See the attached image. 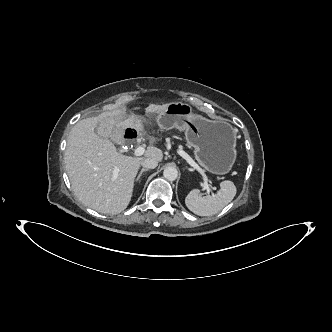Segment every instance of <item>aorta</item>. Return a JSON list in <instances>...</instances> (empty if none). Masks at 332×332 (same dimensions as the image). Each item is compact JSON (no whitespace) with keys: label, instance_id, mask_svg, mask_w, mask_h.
<instances>
[{"label":"aorta","instance_id":"aorta-1","mask_svg":"<svg viewBox=\"0 0 332 332\" xmlns=\"http://www.w3.org/2000/svg\"><path fill=\"white\" fill-rule=\"evenodd\" d=\"M163 177L168 181H174L178 177V170L175 167H167L163 171Z\"/></svg>","mask_w":332,"mask_h":332}]
</instances>
